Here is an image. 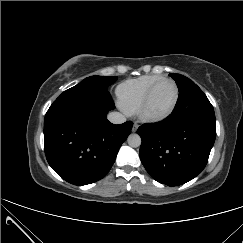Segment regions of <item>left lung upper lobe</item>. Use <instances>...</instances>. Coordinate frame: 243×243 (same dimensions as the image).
Segmentation results:
<instances>
[{
  "instance_id": "5c2ea615",
  "label": "left lung upper lobe",
  "mask_w": 243,
  "mask_h": 243,
  "mask_svg": "<svg viewBox=\"0 0 243 243\" xmlns=\"http://www.w3.org/2000/svg\"><path fill=\"white\" fill-rule=\"evenodd\" d=\"M170 76L175 80L180 92L174 108L177 112L174 114L195 121H215L213 106L201 89L183 75Z\"/></svg>"
}]
</instances>
